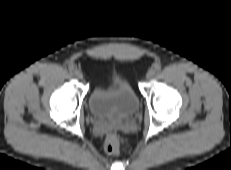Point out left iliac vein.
I'll list each match as a JSON object with an SVG mask.
<instances>
[{
    "label": "left iliac vein",
    "mask_w": 231,
    "mask_h": 170,
    "mask_svg": "<svg viewBox=\"0 0 231 170\" xmlns=\"http://www.w3.org/2000/svg\"><path fill=\"white\" fill-rule=\"evenodd\" d=\"M155 75V70L154 69H149L146 73V79H151Z\"/></svg>",
    "instance_id": "left-iliac-vein-1"
}]
</instances>
